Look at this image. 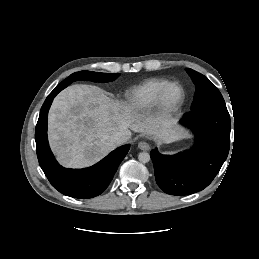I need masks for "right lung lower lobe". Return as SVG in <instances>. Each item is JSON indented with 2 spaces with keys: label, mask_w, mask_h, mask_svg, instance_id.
<instances>
[{
  "label": "right lung lower lobe",
  "mask_w": 259,
  "mask_h": 259,
  "mask_svg": "<svg viewBox=\"0 0 259 259\" xmlns=\"http://www.w3.org/2000/svg\"><path fill=\"white\" fill-rule=\"evenodd\" d=\"M62 90L56 87L46 98L40 110L35 130L37 157L51 185L64 195L88 199L101 194L111 182L130 145L122 146L97 164L85 169H66L54 158L47 139L48 111L54 97Z\"/></svg>",
  "instance_id": "right-lung-lower-lobe-1"
}]
</instances>
